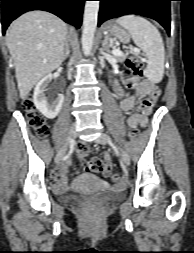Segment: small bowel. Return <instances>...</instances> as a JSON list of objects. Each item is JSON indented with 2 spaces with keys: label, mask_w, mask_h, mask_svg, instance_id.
<instances>
[{
  "label": "small bowel",
  "mask_w": 194,
  "mask_h": 253,
  "mask_svg": "<svg viewBox=\"0 0 194 253\" xmlns=\"http://www.w3.org/2000/svg\"><path fill=\"white\" fill-rule=\"evenodd\" d=\"M127 87L134 88L135 92L130 94L129 92L123 91L121 89L117 90V95L119 98V105L123 112H130L135 104L141 100L149 97L155 91V85L150 80L139 81L137 78H132L128 80ZM128 127L137 128L138 126L145 127L147 125V114L134 113L127 119ZM105 165L103 170V175L105 177L109 176L113 162L109 155L105 157ZM71 161L67 159L62 163L51 175V179L54 188L58 192L65 191L67 189V170Z\"/></svg>",
  "instance_id": "obj_1"
}]
</instances>
